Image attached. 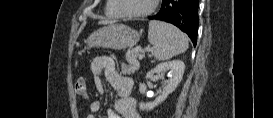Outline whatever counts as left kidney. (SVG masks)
Listing matches in <instances>:
<instances>
[{
	"mask_svg": "<svg viewBox=\"0 0 273 118\" xmlns=\"http://www.w3.org/2000/svg\"><path fill=\"white\" fill-rule=\"evenodd\" d=\"M185 70V65L180 60H173L157 65L154 69L146 74V79L152 77L155 73L160 74L168 71L169 80L163 86L162 93L156 98L154 102L140 103V110H152L154 107L162 103L170 93H172L182 80Z\"/></svg>",
	"mask_w": 273,
	"mask_h": 118,
	"instance_id": "obj_1",
	"label": "left kidney"
}]
</instances>
